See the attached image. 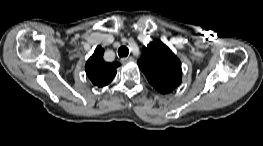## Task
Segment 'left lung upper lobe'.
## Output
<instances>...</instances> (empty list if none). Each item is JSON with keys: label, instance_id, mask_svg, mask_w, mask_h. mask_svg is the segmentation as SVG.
I'll return each mask as SVG.
<instances>
[{"label": "left lung upper lobe", "instance_id": "5c2ea615", "mask_svg": "<svg viewBox=\"0 0 263 146\" xmlns=\"http://www.w3.org/2000/svg\"><path fill=\"white\" fill-rule=\"evenodd\" d=\"M138 66L149 83L160 93L175 90L181 83V62L160 40L154 39L143 48Z\"/></svg>", "mask_w": 263, "mask_h": 146}]
</instances>
